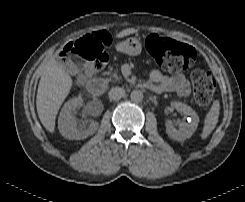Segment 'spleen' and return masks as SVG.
<instances>
[{"label": "spleen", "instance_id": "obj_1", "mask_svg": "<svg viewBox=\"0 0 245 202\" xmlns=\"http://www.w3.org/2000/svg\"><path fill=\"white\" fill-rule=\"evenodd\" d=\"M220 112V104L219 101H214L210 111L207 113L204 121V127L201 134V138L205 139L209 136V134L214 130L216 124L218 122Z\"/></svg>", "mask_w": 245, "mask_h": 202}]
</instances>
